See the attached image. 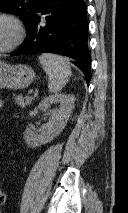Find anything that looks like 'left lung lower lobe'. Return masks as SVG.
Segmentation results:
<instances>
[{
	"mask_svg": "<svg viewBox=\"0 0 128 213\" xmlns=\"http://www.w3.org/2000/svg\"><path fill=\"white\" fill-rule=\"evenodd\" d=\"M27 37L11 56L56 53L74 62L90 80L91 57L87 46L88 21L84 0H39Z\"/></svg>",
	"mask_w": 128,
	"mask_h": 213,
	"instance_id": "0a47b994",
	"label": "left lung lower lobe"
}]
</instances>
